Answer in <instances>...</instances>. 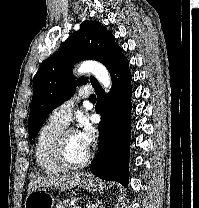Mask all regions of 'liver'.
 <instances>
[{"label": "liver", "mask_w": 199, "mask_h": 208, "mask_svg": "<svg viewBox=\"0 0 199 208\" xmlns=\"http://www.w3.org/2000/svg\"><path fill=\"white\" fill-rule=\"evenodd\" d=\"M80 174L40 176L30 181L27 196L39 188H53L67 190L75 187L80 182Z\"/></svg>", "instance_id": "obj_1"}]
</instances>
